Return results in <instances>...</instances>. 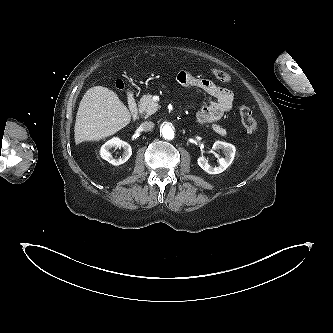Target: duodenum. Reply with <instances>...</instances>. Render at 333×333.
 I'll list each match as a JSON object with an SVG mask.
<instances>
[{"label": "duodenum", "instance_id": "obj_1", "mask_svg": "<svg viewBox=\"0 0 333 333\" xmlns=\"http://www.w3.org/2000/svg\"><path fill=\"white\" fill-rule=\"evenodd\" d=\"M128 103H129L131 118L136 119V117L138 115V108H137V103H136L134 93L132 91H129V93H128Z\"/></svg>", "mask_w": 333, "mask_h": 333}]
</instances>
